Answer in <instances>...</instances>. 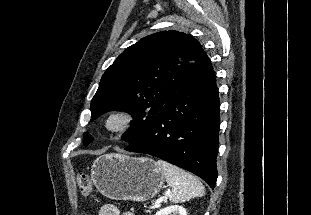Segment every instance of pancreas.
Listing matches in <instances>:
<instances>
[{
  "mask_svg": "<svg viewBox=\"0 0 311 215\" xmlns=\"http://www.w3.org/2000/svg\"><path fill=\"white\" fill-rule=\"evenodd\" d=\"M147 213H150V210H146Z\"/></svg>",
  "mask_w": 311,
  "mask_h": 215,
  "instance_id": "cf45deb5",
  "label": "pancreas"
}]
</instances>
